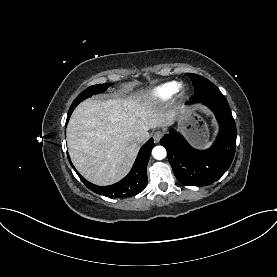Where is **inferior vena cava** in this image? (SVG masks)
I'll return each mask as SVG.
<instances>
[{
	"label": "inferior vena cava",
	"instance_id": "1",
	"mask_svg": "<svg viewBox=\"0 0 277 277\" xmlns=\"http://www.w3.org/2000/svg\"><path fill=\"white\" fill-rule=\"evenodd\" d=\"M134 138L138 143L145 142L149 138V132L147 128L140 129L134 133Z\"/></svg>",
	"mask_w": 277,
	"mask_h": 277
}]
</instances>
